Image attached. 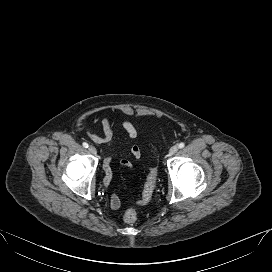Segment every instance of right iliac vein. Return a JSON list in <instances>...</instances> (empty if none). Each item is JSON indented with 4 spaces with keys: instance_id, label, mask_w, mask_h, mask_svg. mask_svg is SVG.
<instances>
[{
    "instance_id": "1",
    "label": "right iliac vein",
    "mask_w": 272,
    "mask_h": 272,
    "mask_svg": "<svg viewBox=\"0 0 272 272\" xmlns=\"http://www.w3.org/2000/svg\"><path fill=\"white\" fill-rule=\"evenodd\" d=\"M88 151L93 155H96V153H97V150L94 146H89Z\"/></svg>"
}]
</instances>
